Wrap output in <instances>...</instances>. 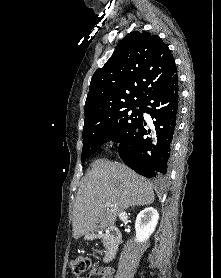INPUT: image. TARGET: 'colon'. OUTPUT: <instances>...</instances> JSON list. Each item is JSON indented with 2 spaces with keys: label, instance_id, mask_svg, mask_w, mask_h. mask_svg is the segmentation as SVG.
<instances>
[{
  "label": "colon",
  "instance_id": "colon-1",
  "mask_svg": "<svg viewBox=\"0 0 221 278\" xmlns=\"http://www.w3.org/2000/svg\"><path fill=\"white\" fill-rule=\"evenodd\" d=\"M71 269L78 278H84L83 275H88L92 270V262L88 257L75 256L70 261Z\"/></svg>",
  "mask_w": 221,
  "mask_h": 278
}]
</instances>
